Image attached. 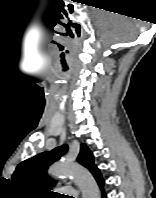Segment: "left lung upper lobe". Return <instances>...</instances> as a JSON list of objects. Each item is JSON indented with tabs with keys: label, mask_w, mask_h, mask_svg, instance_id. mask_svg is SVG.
<instances>
[{
	"label": "left lung upper lobe",
	"mask_w": 156,
	"mask_h": 198,
	"mask_svg": "<svg viewBox=\"0 0 156 198\" xmlns=\"http://www.w3.org/2000/svg\"><path fill=\"white\" fill-rule=\"evenodd\" d=\"M67 149V145H63L50 152L40 153L21 162L12 175V181L35 193L47 194L50 192L48 190L50 185H55L56 182L47 175L46 170L48 166L57 161ZM77 161L86 167L94 176L99 172V169L94 164V157L85 144L81 145Z\"/></svg>",
	"instance_id": "1"
}]
</instances>
